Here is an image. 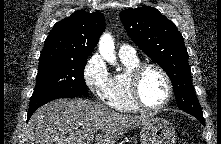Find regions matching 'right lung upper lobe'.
<instances>
[{
	"label": "right lung upper lobe",
	"instance_id": "cb5924a9",
	"mask_svg": "<svg viewBox=\"0 0 221 144\" xmlns=\"http://www.w3.org/2000/svg\"><path fill=\"white\" fill-rule=\"evenodd\" d=\"M105 29L101 12L77 11L57 22L45 40L42 58L86 59Z\"/></svg>",
	"mask_w": 221,
	"mask_h": 144
}]
</instances>
